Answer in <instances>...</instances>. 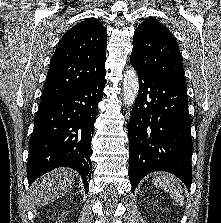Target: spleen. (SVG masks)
Instances as JSON below:
<instances>
[{
    "mask_svg": "<svg viewBox=\"0 0 221 223\" xmlns=\"http://www.w3.org/2000/svg\"><path fill=\"white\" fill-rule=\"evenodd\" d=\"M154 183L162 187L166 192L171 194L174 200L182 205L184 202L183 190L179 181L170 175L159 176L154 179Z\"/></svg>",
    "mask_w": 221,
    "mask_h": 223,
    "instance_id": "1",
    "label": "spleen"
}]
</instances>
